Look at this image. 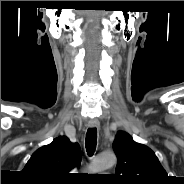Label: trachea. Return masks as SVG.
Wrapping results in <instances>:
<instances>
[{"label": "trachea", "mask_w": 184, "mask_h": 184, "mask_svg": "<svg viewBox=\"0 0 184 184\" xmlns=\"http://www.w3.org/2000/svg\"><path fill=\"white\" fill-rule=\"evenodd\" d=\"M97 145V130L96 128H89L86 133L85 146L89 156H92L95 152Z\"/></svg>", "instance_id": "3493384b"}]
</instances>
